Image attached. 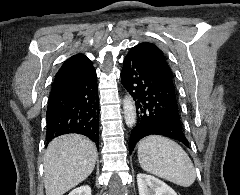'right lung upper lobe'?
<instances>
[{"instance_id": "cb5924a9", "label": "right lung upper lobe", "mask_w": 240, "mask_h": 195, "mask_svg": "<svg viewBox=\"0 0 240 195\" xmlns=\"http://www.w3.org/2000/svg\"><path fill=\"white\" fill-rule=\"evenodd\" d=\"M94 70L92 62L83 54H77L66 60L59 69L54 81L82 78Z\"/></svg>"}]
</instances>
